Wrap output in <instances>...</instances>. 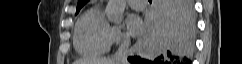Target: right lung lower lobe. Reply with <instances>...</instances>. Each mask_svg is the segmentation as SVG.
Returning a JSON list of instances; mask_svg holds the SVG:
<instances>
[{
    "label": "right lung lower lobe",
    "instance_id": "obj_1",
    "mask_svg": "<svg viewBox=\"0 0 242 64\" xmlns=\"http://www.w3.org/2000/svg\"><path fill=\"white\" fill-rule=\"evenodd\" d=\"M154 12L160 28V54L153 61L138 56L128 57V61L132 64H188L195 34L191 0H156Z\"/></svg>",
    "mask_w": 242,
    "mask_h": 64
}]
</instances>
